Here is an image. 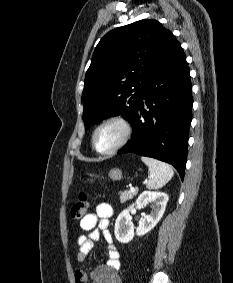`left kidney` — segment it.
Wrapping results in <instances>:
<instances>
[{"mask_svg":"<svg viewBox=\"0 0 233 283\" xmlns=\"http://www.w3.org/2000/svg\"><path fill=\"white\" fill-rule=\"evenodd\" d=\"M168 199V195L163 192L144 191L140 194L135 204L121 212L117 217L114 230L116 239L121 243H128L135 234L143 236L151 231L162 218ZM149 203H152V211L139 222L135 232L130 211L133 210L134 206L140 209Z\"/></svg>","mask_w":233,"mask_h":283,"instance_id":"obj_1","label":"left kidney"}]
</instances>
